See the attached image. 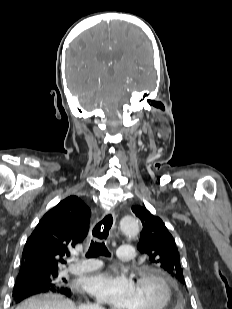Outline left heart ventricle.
I'll return each instance as SVG.
<instances>
[{
	"mask_svg": "<svg viewBox=\"0 0 232 309\" xmlns=\"http://www.w3.org/2000/svg\"><path fill=\"white\" fill-rule=\"evenodd\" d=\"M162 301L163 291L157 283L150 280L136 282L130 309H157Z\"/></svg>",
	"mask_w": 232,
	"mask_h": 309,
	"instance_id": "b2bd125f",
	"label": "left heart ventricle"
}]
</instances>
